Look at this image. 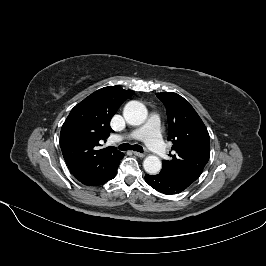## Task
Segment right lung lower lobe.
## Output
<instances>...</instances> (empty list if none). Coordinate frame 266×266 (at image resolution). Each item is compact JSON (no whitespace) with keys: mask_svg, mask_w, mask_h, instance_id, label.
Instances as JSON below:
<instances>
[{"mask_svg":"<svg viewBox=\"0 0 266 266\" xmlns=\"http://www.w3.org/2000/svg\"><path fill=\"white\" fill-rule=\"evenodd\" d=\"M118 166H119V163L115 166V168L107 176L88 184V186L102 185L105 182H107L108 180L113 179L115 177V175H116Z\"/></svg>","mask_w":266,"mask_h":266,"instance_id":"obj_1","label":"right lung lower lobe"}]
</instances>
